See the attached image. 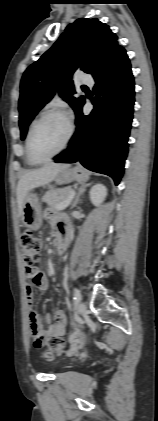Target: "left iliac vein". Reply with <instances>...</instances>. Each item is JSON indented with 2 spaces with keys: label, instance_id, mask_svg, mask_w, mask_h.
Here are the masks:
<instances>
[{
  "label": "left iliac vein",
  "instance_id": "1",
  "mask_svg": "<svg viewBox=\"0 0 158 421\" xmlns=\"http://www.w3.org/2000/svg\"><path fill=\"white\" fill-rule=\"evenodd\" d=\"M85 311H86V304L84 302H79V304H78V312L80 314H82Z\"/></svg>",
  "mask_w": 158,
  "mask_h": 421
}]
</instances>
